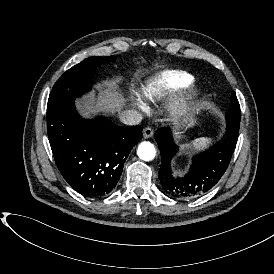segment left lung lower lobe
<instances>
[{
	"mask_svg": "<svg viewBox=\"0 0 274 274\" xmlns=\"http://www.w3.org/2000/svg\"><path fill=\"white\" fill-rule=\"evenodd\" d=\"M227 131L221 141L209 150L196 155L189 173L182 178L172 175L170 162L178 151L171 131L165 127L155 132L162 164L158 175L163 190L177 198H194L209 191L224 175L232 158L239 135L240 124L227 122Z\"/></svg>",
	"mask_w": 274,
	"mask_h": 274,
	"instance_id": "left-lung-lower-lobe-1",
	"label": "left lung lower lobe"
}]
</instances>
